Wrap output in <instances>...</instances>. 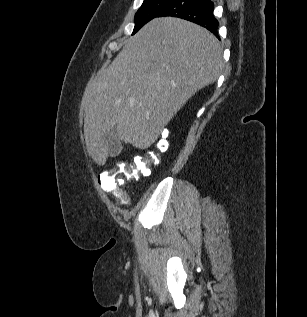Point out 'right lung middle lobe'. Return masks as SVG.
<instances>
[{
    "mask_svg": "<svg viewBox=\"0 0 307 317\" xmlns=\"http://www.w3.org/2000/svg\"><path fill=\"white\" fill-rule=\"evenodd\" d=\"M173 0H144L142 6L135 14V34L148 21L152 20L168 6Z\"/></svg>",
    "mask_w": 307,
    "mask_h": 317,
    "instance_id": "dd1d6c3e",
    "label": "right lung middle lobe"
}]
</instances>
